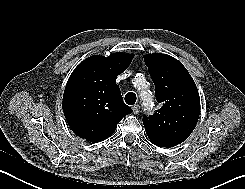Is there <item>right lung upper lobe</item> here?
<instances>
[{
	"mask_svg": "<svg viewBox=\"0 0 245 189\" xmlns=\"http://www.w3.org/2000/svg\"><path fill=\"white\" fill-rule=\"evenodd\" d=\"M133 54L86 58L71 74L63 95V112L73 132L90 142H101L120 120L133 112L124 104L116 78L130 65Z\"/></svg>",
	"mask_w": 245,
	"mask_h": 189,
	"instance_id": "right-lung-upper-lobe-1",
	"label": "right lung upper lobe"
}]
</instances>
